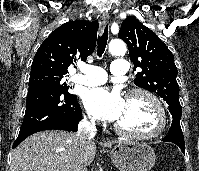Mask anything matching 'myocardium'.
Returning <instances> with one entry per match:
<instances>
[{
	"instance_id": "1",
	"label": "myocardium",
	"mask_w": 199,
	"mask_h": 171,
	"mask_svg": "<svg viewBox=\"0 0 199 171\" xmlns=\"http://www.w3.org/2000/svg\"><path fill=\"white\" fill-rule=\"evenodd\" d=\"M133 95L144 96L151 102L156 111L157 126L151 132L139 133V132L126 131L123 128H121L117 123H115L114 125L115 131L121 136L131 139H138V140H148L160 136L165 130L167 124V116L163 104L155 94L144 88H132L128 90L126 93V98L131 97Z\"/></svg>"
}]
</instances>
